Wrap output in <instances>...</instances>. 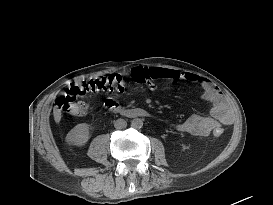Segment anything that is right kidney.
Returning <instances> with one entry per match:
<instances>
[{"label":"right kidney","mask_w":273,"mask_h":205,"mask_svg":"<svg viewBox=\"0 0 273 205\" xmlns=\"http://www.w3.org/2000/svg\"><path fill=\"white\" fill-rule=\"evenodd\" d=\"M70 135L75 145H84L90 138L89 125L86 123L78 124L71 130Z\"/></svg>","instance_id":"ca27d5eb"}]
</instances>
